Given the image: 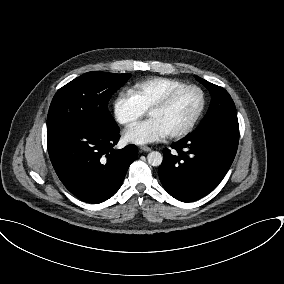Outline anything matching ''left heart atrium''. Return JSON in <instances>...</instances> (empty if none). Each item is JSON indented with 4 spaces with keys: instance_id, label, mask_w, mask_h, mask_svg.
Returning <instances> with one entry per match:
<instances>
[{
    "instance_id": "obj_1",
    "label": "left heart atrium",
    "mask_w": 284,
    "mask_h": 284,
    "mask_svg": "<svg viewBox=\"0 0 284 284\" xmlns=\"http://www.w3.org/2000/svg\"><path fill=\"white\" fill-rule=\"evenodd\" d=\"M169 132L153 117L139 122L126 130L125 139L135 144H146L160 141Z\"/></svg>"
}]
</instances>
